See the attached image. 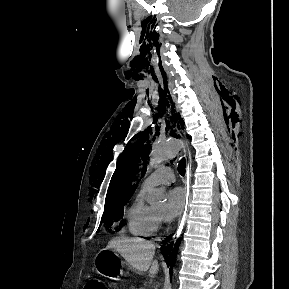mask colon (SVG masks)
Listing matches in <instances>:
<instances>
[{
    "label": "colon",
    "mask_w": 289,
    "mask_h": 289,
    "mask_svg": "<svg viewBox=\"0 0 289 289\" xmlns=\"http://www.w3.org/2000/svg\"><path fill=\"white\" fill-rule=\"evenodd\" d=\"M85 289H105V283L100 278H91L86 283Z\"/></svg>",
    "instance_id": "5ec220e1"
}]
</instances>
